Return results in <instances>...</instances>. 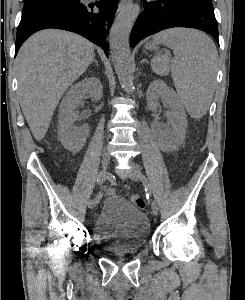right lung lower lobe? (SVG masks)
Masks as SVG:
<instances>
[{
	"mask_svg": "<svg viewBox=\"0 0 245 300\" xmlns=\"http://www.w3.org/2000/svg\"><path fill=\"white\" fill-rule=\"evenodd\" d=\"M117 6V0H82L24 16L17 29L15 55L33 33L46 28H56L82 35L102 47L108 56L106 34L113 22Z\"/></svg>",
	"mask_w": 245,
	"mask_h": 300,
	"instance_id": "right-lung-lower-lobe-1",
	"label": "right lung lower lobe"
}]
</instances>
